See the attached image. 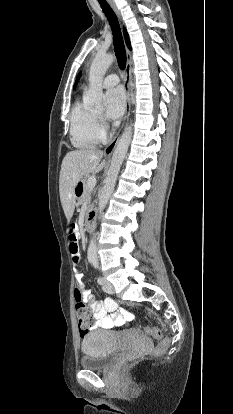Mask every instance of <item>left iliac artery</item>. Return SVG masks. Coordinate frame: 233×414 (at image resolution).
<instances>
[{
    "instance_id": "left-iliac-artery-1",
    "label": "left iliac artery",
    "mask_w": 233,
    "mask_h": 414,
    "mask_svg": "<svg viewBox=\"0 0 233 414\" xmlns=\"http://www.w3.org/2000/svg\"><path fill=\"white\" fill-rule=\"evenodd\" d=\"M93 266H94V268H95V269H98V267H99V265H98V263H97V262H93ZM97 282H98L100 285H102V284L104 283V279H103L102 277H98V278H97Z\"/></svg>"
}]
</instances>
